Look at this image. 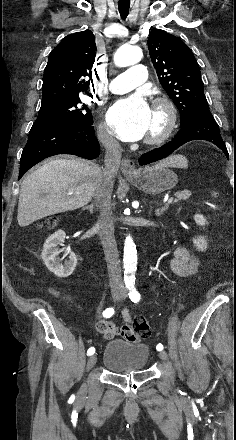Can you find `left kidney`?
<instances>
[{"mask_svg":"<svg viewBox=\"0 0 236 440\" xmlns=\"http://www.w3.org/2000/svg\"><path fill=\"white\" fill-rule=\"evenodd\" d=\"M194 220L197 225L205 226L207 224L206 218L202 214H195ZM194 246L200 251H205L207 249V240L204 236H198L193 239Z\"/></svg>","mask_w":236,"mask_h":440,"instance_id":"obj_1","label":"left kidney"}]
</instances>
